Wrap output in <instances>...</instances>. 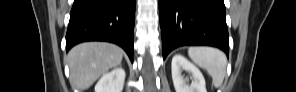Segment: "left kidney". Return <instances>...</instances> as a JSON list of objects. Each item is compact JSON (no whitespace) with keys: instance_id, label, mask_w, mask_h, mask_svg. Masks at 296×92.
Returning a JSON list of instances; mask_svg holds the SVG:
<instances>
[{"instance_id":"left-kidney-1","label":"left kidney","mask_w":296,"mask_h":92,"mask_svg":"<svg viewBox=\"0 0 296 92\" xmlns=\"http://www.w3.org/2000/svg\"><path fill=\"white\" fill-rule=\"evenodd\" d=\"M171 69L176 92H207L205 79L201 71L182 55L176 54L173 56ZM183 70L191 74L190 79H192V82L190 85L189 79L184 78L182 75Z\"/></svg>"}]
</instances>
